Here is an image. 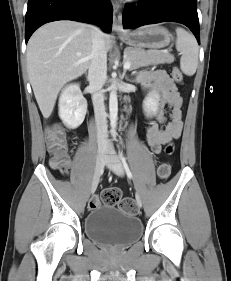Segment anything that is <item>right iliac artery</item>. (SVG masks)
<instances>
[{
  "instance_id": "1",
  "label": "right iliac artery",
  "mask_w": 231,
  "mask_h": 281,
  "mask_svg": "<svg viewBox=\"0 0 231 281\" xmlns=\"http://www.w3.org/2000/svg\"><path fill=\"white\" fill-rule=\"evenodd\" d=\"M103 168H104V165H103ZM103 168H102V171H101V173L103 172Z\"/></svg>"
}]
</instances>
